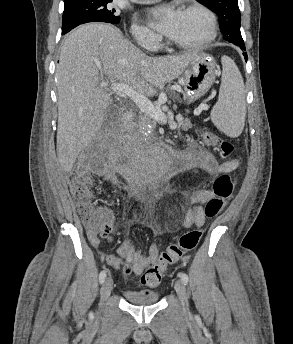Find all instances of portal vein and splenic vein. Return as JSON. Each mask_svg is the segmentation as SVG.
I'll return each mask as SVG.
<instances>
[{
  "label": "portal vein and splenic vein",
  "instance_id": "18ae733b",
  "mask_svg": "<svg viewBox=\"0 0 293 344\" xmlns=\"http://www.w3.org/2000/svg\"><path fill=\"white\" fill-rule=\"evenodd\" d=\"M101 86L106 88L109 85L108 83H103ZM110 88L114 92L122 93L128 96L130 99H132L136 103V105L139 107L141 111L152 116L156 120L162 123L167 122V116L161 111V109L158 107H155L147 97L136 92L131 86L127 84H123V83H112L110 85Z\"/></svg>",
  "mask_w": 293,
  "mask_h": 344
}]
</instances>
